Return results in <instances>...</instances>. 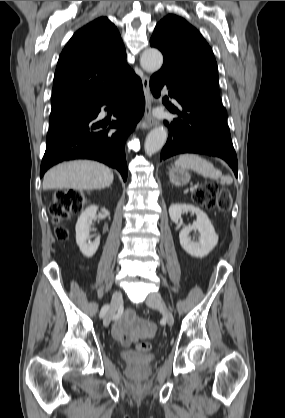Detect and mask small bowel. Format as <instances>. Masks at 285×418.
<instances>
[{
	"instance_id": "c3829d8e",
	"label": "small bowel",
	"mask_w": 285,
	"mask_h": 418,
	"mask_svg": "<svg viewBox=\"0 0 285 418\" xmlns=\"http://www.w3.org/2000/svg\"><path fill=\"white\" fill-rule=\"evenodd\" d=\"M155 332L153 321L140 319L132 310H127L112 327L113 338L124 347L139 339L152 338Z\"/></svg>"
}]
</instances>
